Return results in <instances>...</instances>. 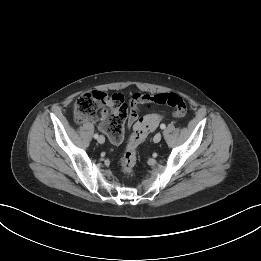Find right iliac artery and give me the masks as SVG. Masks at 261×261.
<instances>
[{
  "label": "right iliac artery",
  "instance_id": "82829eb1",
  "mask_svg": "<svg viewBox=\"0 0 261 261\" xmlns=\"http://www.w3.org/2000/svg\"><path fill=\"white\" fill-rule=\"evenodd\" d=\"M98 136H99V135H98L97 133H96V134H94V138H95V139H97V138H98Z\"/></svg>",
  "mask_w": 261,
  "mask_h": 261
}]
</instances>
